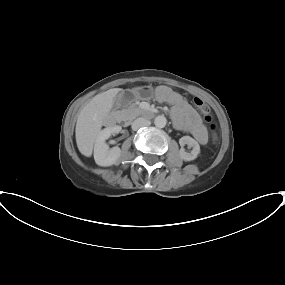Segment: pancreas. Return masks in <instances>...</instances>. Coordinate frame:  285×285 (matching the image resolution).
<instances>
[{
  "instance_id": "obj_1",
  "label": "pancreas",
  "mask_w": 285,
  "mask_h": 285,
  "mask_svg": "<svg viewBox=\"0 0 285 285\" xmlns=\"http://www.w3.org/2000/svg\"><path fill=\"white\" fill-rule=\"evenodd\" d=\"M124 113L127 120H133L141 114V109L138 108L136 104H132L124 110Z\"/></svg>"
}]
</instances>
